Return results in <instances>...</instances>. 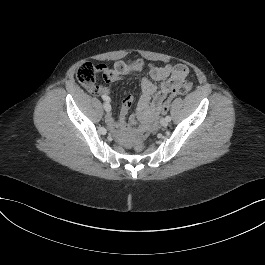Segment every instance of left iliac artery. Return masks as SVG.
I'll list each match as a JSON object with an SVG mask.
<instances>
[{
  "label": "left iliac artery",
  "mask_w": 265,
  "mask_h": 265,
  "mask_svg": "<svg viewBox=\"0 0 265 265\" xmlns=\"http://www.w3.org/2000/svg\"><path fill=\"white\" fill-rule=\"evenodd\" d=\"M166 119H167L168 121H171V117H170V116H166Z\"/></svg>",
  "instance_id": "44dca946"
}]
</instances>
